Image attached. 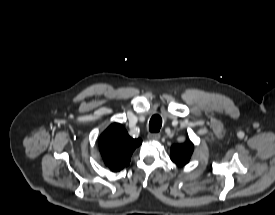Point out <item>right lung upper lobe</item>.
I'll return each mask as SVG.
<instances>
[{
	"mask_svg": "<svg viewBox=\"0 0 275 215\" xmlns=\"http://www.w3.org/2000/svg\"><path fill=\"white\" fill-rule=\"evenodd\" d=\"M142 143L141 139L131 138L119 123L110 125L99 137L102 158L112 171H120L130 163V158Z\"/></svg>",
	"mask_w": 275,
	"mask_h": 215,
	"instance_id": "1",
	"label": "right lung upper lobe"
}]
</instances>
